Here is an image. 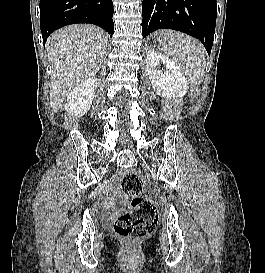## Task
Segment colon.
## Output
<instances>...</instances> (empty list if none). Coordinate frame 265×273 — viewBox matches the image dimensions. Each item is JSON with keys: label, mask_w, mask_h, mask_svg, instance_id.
<instances>
[{"label": "colon", "mask_w": 265, "mask_h": 273, "mask_svg": "<svg viewBox=\"0 0 265 273\" xmlns=\"http://www.w3.org/2000/svg\"><path fill=\"white\" fill-rule=\"evenodd\" d=\"M123 192L131 198V209L114 224V233L125 240H140L150 236L157 228L159 211L154 202L142 197L143 181L137 171L126 172L121 180Z\"/></svg>", "instance_id": "5ec220e1"}]
</instances>
